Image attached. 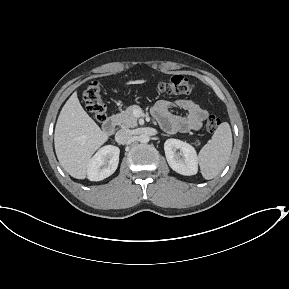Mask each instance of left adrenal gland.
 <instances>
[{"mask_svg":"<svg viewBox=\"0 0 289 289\" xmlns=\"http://www.w3.org/2000/svg\"><path fill=\"white\" fill-rule=\"evenodd\" d=\"M162 135H163V136H169L168 134H164V133H162Z\"/></svg>","mask_w":289,"mask_h":289,"instance_id":"1","label":"left adrenal gland"}]
</instances>
